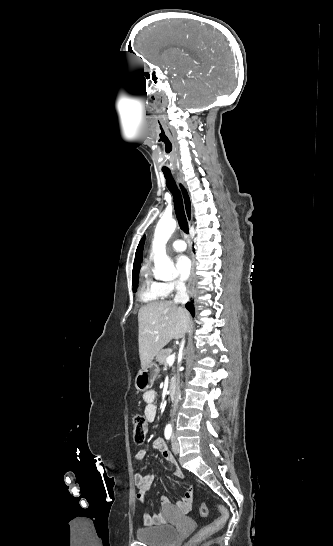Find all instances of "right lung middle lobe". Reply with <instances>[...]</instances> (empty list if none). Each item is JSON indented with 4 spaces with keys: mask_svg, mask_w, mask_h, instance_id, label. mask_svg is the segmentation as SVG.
Instances as JSON below:
<instances>
[{
    "mask_svg": "<svg viewBox=\"0 0 333 546\" xmlns=\"http://www.w3.org/2000/svg\"><path fill=\"white\" fill-rule=\"evenodd\" d=\"M137 271H138V264L134 263L133 265V279L135 280L133 284V291L136 292L137 286H138V280H137Z\"/></svg>",
    "mask_w": 333,
    "mask_h": 546,
    "instance_id": "right-lung-middle-lobe-1",
    "label": "right lung middle lobe"
}]
</instances>
